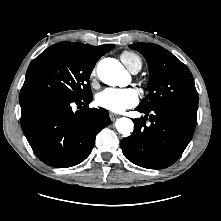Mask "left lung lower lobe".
<instances>
[{
	"label": "left lung lower lobe",
	"instance_id": "left-lung-lower-lobe-1",
	"mask_svg": "<svg viewBox=\"0 0 221 221\" xmlns=\"http://www.w3.org/2000/svg\"><path fill=\"white\" fill-rule=\"evenodd\" d=\"M136 110L149 116L151 124L146 125L147 117L133 119V133L121 141L123 154L140 167L161 169L171 166L194 134L197 108L167 104L151 110L139 107Z\"/></svg>",
	"mask_w": 221,
	"mask_h": 221
}]
</instances>
